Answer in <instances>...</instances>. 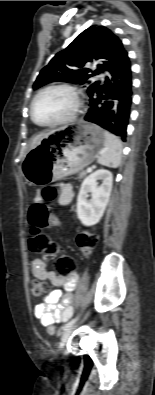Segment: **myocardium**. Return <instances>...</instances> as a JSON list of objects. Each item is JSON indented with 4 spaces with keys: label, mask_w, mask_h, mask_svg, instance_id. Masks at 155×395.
<instances>
[{
    "label": "myocardium",
    "mask_w": 155,
    "mask_h": 395,
    "mask_svg": "<svg viewBox=\"0 0 155 395\" xmlns=\"http://www.w3.org/2000/svg\"><path fill=\"white\" fill-rule=\"evenodd\" d=\"M51 90H65V91L69 92L74 99L73 107H72L71 111L65 117H63L55 122L47 123V124L38 123L34 117V105H35L37 99L42 94H44L48 91H51ZM81 106H82L81 95H80L79 90L75 86L66 84V83L51 84V85L45 86L42 89H40L32 98L31 103H30V108H29L30 119L35 125L42 127V128H54V127L62 126V125L68 124L76 119V117L78 116V113L81 109Z\"/></svg>",
    "instance_id": "1"
}]
</instances>
